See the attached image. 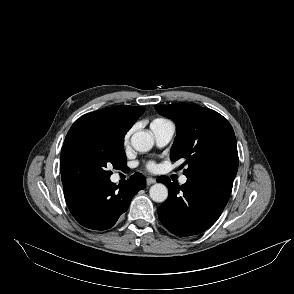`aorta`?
Returning <instances> with one entry per match:
<instances>
[{
  "instance_id": "1",
  "label": "aorta",
  "mask_w": 294,
  "mask_h": 294,
  "mask_svg": "<svg viewBox=\"0 0 294 294\" xmlns=\"http://www.w3.org/2000/svg\"><path fill=\"white\" fill-rule=\"evenodd\" d=\"M132 147L138 152H148L154 144V139L148 132L139 131L131 137ZM150 197L153 201L161 203L168 197V189L164 184L156 183L149 190Z\"/></svg>"
}]
</instances>
